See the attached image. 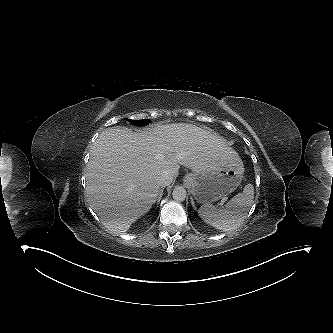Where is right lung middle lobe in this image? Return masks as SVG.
Listing matches in <instances>:
<instances>
[{"label":"right lung middle lobe","mask_w":333,"mask_h":333,"mask_svg":"<svg viewBox=\"0 0 333 333\" xmlns=\"http://www.w3.org/2000/svg\"><path fill=\"white\" fill-rule=\"evenodd\" d=\"M126 120L129 121L130 123H133L135 125H141V126L147 125L150 122L149 119H142V120L126 119Z\"/></svg>","instance_id":"1"}]
</instances>
